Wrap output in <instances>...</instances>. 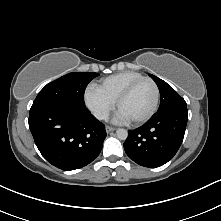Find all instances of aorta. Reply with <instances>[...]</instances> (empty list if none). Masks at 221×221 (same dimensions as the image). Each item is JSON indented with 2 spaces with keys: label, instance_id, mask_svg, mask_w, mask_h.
<instances>
[{
  "label": "aorta",
  "instance_id": "obj_1",
  "mask_svg": "<svg viewBox=\"0 0 221 221\" xmlns=\"http://www.w3.org/2000/svg\"><path fill=\"white\" fill-rule=\"evenodd\" d=\"M116 135H117V138L120 139V140H126L127 137H128V132L127 130L123 129V128H119L117 129L116 131Z\"/></svg>",
  "mask_w": 221,
  "mask_h": 221
}]
</instances>
